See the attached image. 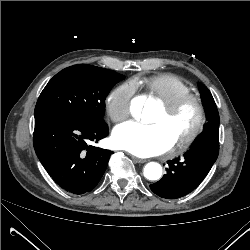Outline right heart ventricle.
<instances>
[{"label": "right heart ventricle", "mask_w": 250, "mask_h": 250, "mask_svg": "<svg viewBox=\"0 0 250 250\" xmlns=\"http://www.w3.org/2000/svg\"><path fill=\"white\" fill-rule=\"evenodd\" d=\"M136 85L144 87L149 97L160 102H169L183 93L190 92V86L183 79L170 73L142 77Z\"/></svg>", "instance_id": "obj_1"}]
</instances>
